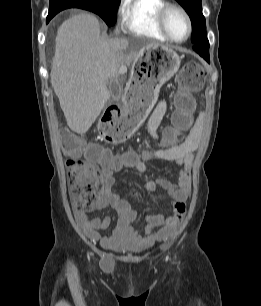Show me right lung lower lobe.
I'll use <instances>...</instances> for the list:
<instances>
[{
    "mask_svg": "<svg viewBox=\"0 0 261 306\" xmlns=\"http://www.w3.org/2000/svg\"><path fill=\"white\" fill-rule=\"evenodd\" d=\"M52 17H53V16H49V15H48V17H47V23L51 20Z\"/></svg>",
    "mask_w": 261,
    "mask_h": 306,
    "instance_id": "obj_1",
    "label": "right lung lower lobe"
}]
</instances>
